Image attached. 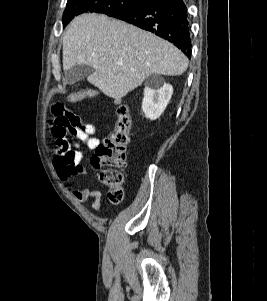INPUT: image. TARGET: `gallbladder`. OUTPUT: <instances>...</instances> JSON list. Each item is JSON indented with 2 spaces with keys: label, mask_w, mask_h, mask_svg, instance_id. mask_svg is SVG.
Returning <instances> with one entry per match:
<instances>
[{
  "label": "gallbladder",
  "mask_w": 267,
  "mask_h": 301,
  "mask_svg": "<svg viewBox=\"0 0 267 301\" xmlns=\"http://www.w3.org/2000/svg\"><path fill=\"white\" fill-rule=\"evenodd\" d=\"M93 72L94 69L88 65H84V64L75 65L65 71L63 81L67 85H73L81 80H84Z\"/></svg>",
  "instance_id": "1"
}]
</instances>
